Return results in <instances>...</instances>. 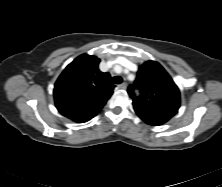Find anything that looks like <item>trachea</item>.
<instances>
[{"instance_id": "1", "label": "trachea", "mask_w": 222, "mask_h": 187, "mask_svg": "<svg viewBox=\"0 0 222 187\" xmlns=\"http://www.w3.org/2000/svg\"><path fill=\"white\" fill-rule=\"evenodd\" d=\"M122 81H123V79L120 76L113 77V83H115V84H120V83H122Z\"/></svg>"}]
</instances>
